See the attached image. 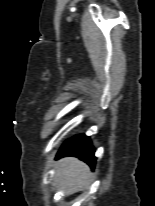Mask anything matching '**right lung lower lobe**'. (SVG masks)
Here are the masks:
<instances>
[{"mask_svg": "<svg viewBox=\"0 0 155 206\" xmlns=\"http://www.w3.org/2000/svg\"><path fill=\"white\" fill-rule=\"evenodd\" d=\"M94 152L95 150L91 144L90 138L84 134H80L67 140L63 144L57 153L56 159L64 156H75L94 168L96 162Z\"/></svg>", "mask_w": 155, "mask_h": 206, "instance_id": "1", "label": "right lung lower lobe"}]
</instances>
